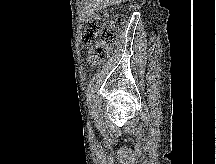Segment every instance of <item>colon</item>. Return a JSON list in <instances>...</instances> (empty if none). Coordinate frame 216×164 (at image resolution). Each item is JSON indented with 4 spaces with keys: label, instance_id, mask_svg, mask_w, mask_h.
<instances>
[{
    "label": "colon",
    "instance_id": "1",
    "mask_svg": "<svg viewBox=\"0 0 216 164\" xmlns=\"http://www.w3.org/2000/svg\"><path fill=\"white\" fill-rule=\"evenodd\" d=\"M105 17L106 14L93 16L86 24L83 41L91 45L88 60L93 66L102 64L108 58L118 40L119 29L123 24L121 15H115L110 19H105Z\"/></svg>",
    "mask_w": 216,
    "mask_h": 164
}]
</instances>
